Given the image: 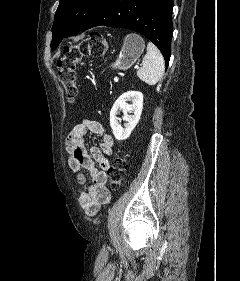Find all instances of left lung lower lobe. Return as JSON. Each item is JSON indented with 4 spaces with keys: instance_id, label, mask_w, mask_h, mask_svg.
Wrapping results in <instances>:
<instances>
[{
    "instance_id": "obj_1",
    "label": "left lung lower lobe",
    "mask_w": 240,
    "mask_h": 281,
    "mask_svg": "<svg viewBox=\"0 0 240 281\" xmlns=\"http://www.w3.org/2000/svg\"><path fill=\"white\" fill-rule=\"evenodd\" d=\"M173 0H105L82 31L95 26L126 28L152 41L170 60Z\"/></svg>"
}]
</instances>
